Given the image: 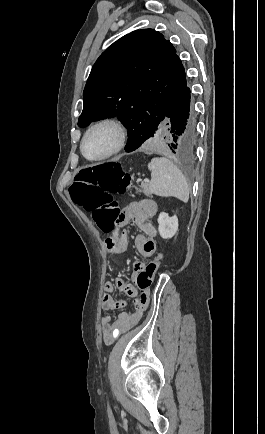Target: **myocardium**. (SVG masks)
Masks as SVG:
<instances>
[{
    "label": "myocardium",
    "mask_w": 265,
    "mask_h": 434,
    "mask_svg": "<svg viewBox=\"0 0 265 434\" xmlns=\"http://www.w3.org/2000/svg\"><path fill=\"white\" fill-rule=\"evenodd\" d=\"M104 127L111 128L115 133V143L113 147L103 156L96 157V158H90L86 156L83 150L86 139L91 133ZM127 138H128V129L123 121L115 117H104L95 121L87 128V130L85 131L84 135L80 140L79 152L85 160L91 163H102L104 161H107L114 155H116L118 152H120L124 148L127 142Z\"/></svg>",
    "instance_id": "obj_1"
}]
</instances>
